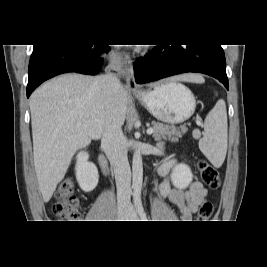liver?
I'll list each match as a JSON object with an SVG mask.
<instances>
[{"label": "liver", "mask_w": 267, "mask_h": 267, "mask_svg": "<svg viewBox=\"0 0 267 267\" xmlns=\"http://www.w3.org/2000/svg\"><path fill=\"white\" fill-rule=\"evenodd\" d=\"M171 81L204 83L196 74H182ZM124 123L127 92L121 86L109 93L100 77L66 74L37 88L30 97L33 156L39 189L48 202L63 180L77 150L104 132L110 104Z\"/></svg>", "instance_id": "6515ba94"}]
</instances>
